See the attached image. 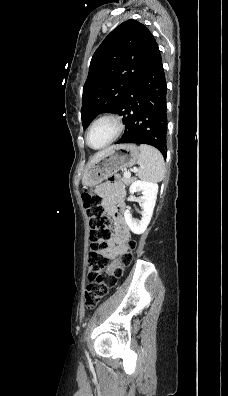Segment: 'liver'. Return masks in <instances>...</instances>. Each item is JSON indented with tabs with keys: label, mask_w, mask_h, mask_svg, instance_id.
Returning a JSON list of instances; mask_svg holds the SVG:
<instances>
[{
	"label": "liver",
	"mask_w": 228,
	"mask_h": 396,
	"mask_svg": "<svg viewBox=\"0 0 228 396\" xmlns=\"http://www.w3.org/2000/svg\"><path fill=\"white\" fill-rule=\"evenodd\" d=\"M115 146H111L105 150H102L100 152H98L88 163L87 167H89L90 165H92L94 162H96L99 158H101L102 156H104L106 153H108L110 150H112Z\"/></svg>",
	"instance_id": "liver-1"
}]
</instances>
